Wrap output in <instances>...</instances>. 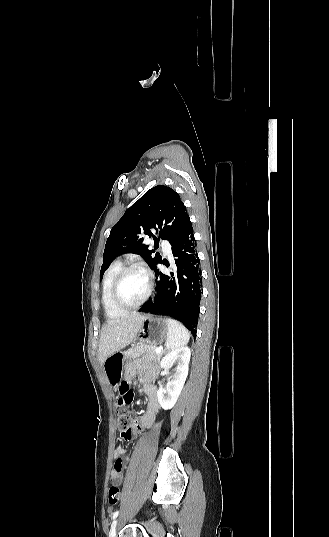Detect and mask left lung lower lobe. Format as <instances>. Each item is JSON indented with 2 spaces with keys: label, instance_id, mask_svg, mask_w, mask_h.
<instances>
[{
  "label": "left lung lower lobe",
  "instance_id": "obj_1",
  "mask_svg": "<svg viewBox=\"0 0 329 537\" xmlns=\"http://www.w3.org/2000/svg\"><path fill=\"white\" fill-rule=\"evenodd\" d=\"M175 272L165 275L156 268L155 295L144 303L142 312L177 319L196 336L201 300V270L191 222L172 244ZM169 267L168 264H166Z\"/></svg>",
  "mask_w": 329,
  "mask_h": 537
}]
</instances>
